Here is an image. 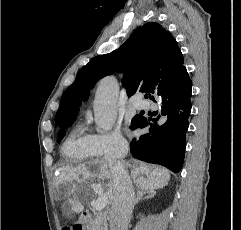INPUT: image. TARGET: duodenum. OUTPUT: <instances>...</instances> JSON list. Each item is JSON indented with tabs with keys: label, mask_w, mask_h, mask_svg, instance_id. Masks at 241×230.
Returning <instances> with one entry per match:
<instances>
[{
	"label": "duodenum",
	"mask_w": 241,
	"mask_h": 230,
	"mask_svg": "<svg viewBox=\"0 0 241 230\" xmlns=\"http://www.w3.org/2000/svg\"><path fill=\"white\" fill-rule=\"evenodd\" d=\"M87 219H88V215H87V214H84V215L82 216V220L85 221V220H87Z\"/></svg>",
	"instance_id": "1"
}]
</instances>
